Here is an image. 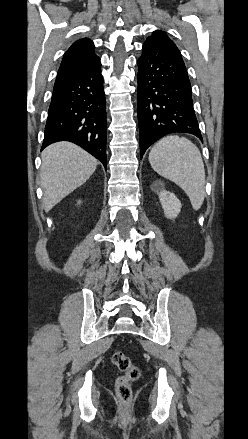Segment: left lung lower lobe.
Segmentation results:
<instances>
[{"instance_id":"0a47b994","label":"left lung lower lobe","mask_w":248,"mask_h":439,"mask_svg":"<svg viewBox=\"0 0 248 439\" xmlns=\"http://www.w3.org/2000/svg\"><path fill=\"white\" fill-rule=\"evenodd\" d=\"M142 50L137 62L141 158L150 145L170 133H190L203 141L181 55L149 42Z\"/></svg>"}]
</instances>
